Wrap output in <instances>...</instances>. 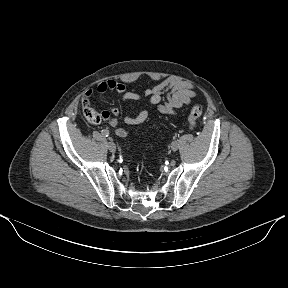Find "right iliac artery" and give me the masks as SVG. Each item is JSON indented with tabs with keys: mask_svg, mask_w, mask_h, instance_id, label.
<instances>
[{
	"mask_svg": "<svg viewBox=\"0 0 288 288\" xmlns=\"http://www.w3.org/2000/svg\"><path fill=\"white\" fill-rule=\"evenodd\" d=\"M102 135L105 136V137H108L109 136V131L104 129L102 130Z\"/></svg>",
	"mask_w": 288,
	"mask_h": 288,
	"instance_id": "obj_1",
	"label": "right iliac artery"
}]
</instances>
